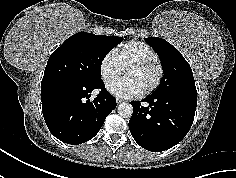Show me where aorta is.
Returning a JSON list of instances; mask_svg holds the SVG:
<instances>
[{
    "label": "aorta",
    "mask_w": 236,
    "mask_h": 178,
    "mask_svg": "<svg viewBox=\"0 0 236 178\" xmlns=\"http://www.w3.org/2000/svg\"><path fill=\"white\" fill-rule=\"evenodd\" d=\"M117 111L121 117L129 118L133 114V107L130 103L123 102L118 105Z\"/></svg>",
    "instance_id": "1"
}]
</instances>
